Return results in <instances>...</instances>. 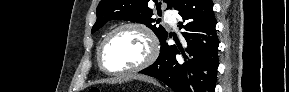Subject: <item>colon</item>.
<instances>
[{"label": "colon", "mask_w": 289, "mask_h": 92, "mask_svg": "<svg viewBox=\"0 0 289 92\" xmlns=\"http://www.w3.org/2000/svg\"><path fill=\"white\" fill-rule=\"evenodd\" d=\"M89 92H100V89H98V88H91V89L89 90Z\"/></svg>", "instance_id": "1"}]
</instances>
